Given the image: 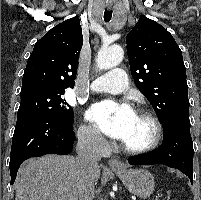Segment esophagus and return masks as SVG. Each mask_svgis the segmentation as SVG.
<instances>
[{
	"instance_id": "obj_1",
	"label": "esophagus",
	"mask_w": 201,
	"mask_h": 200,
	"mask_svg": "<svg viewBox=\"0 0 201 200\" xmlns=\"http://www.w3.org/2000/svg\"><path fill=\"white\" fill-rule=\"evenodd\" d=\"M109 166L113 169H123L121 161L117 158H112L109 160Z\"/></svg>"
}]
</instances>
